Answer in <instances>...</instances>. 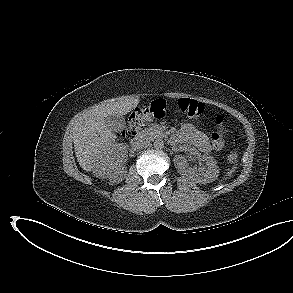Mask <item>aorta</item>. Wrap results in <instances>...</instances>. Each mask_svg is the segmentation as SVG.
Wrapping results in <instances>:
<instances>
[{"label": "aorta", "instance_id": "obj_1", "mask_svg": "<svg viewBox=\"0 0 293 293\" xmlns=\"http://www.w3.org/2000/svg\"><path fill=\"white\" fill-rule=\"evenodd\" d=\"M154 147L156 149H162V148H164V141L162 139L155 140Z\"/></svg>", "mask_w": 293, "mask_h": 293}]
</instances>
